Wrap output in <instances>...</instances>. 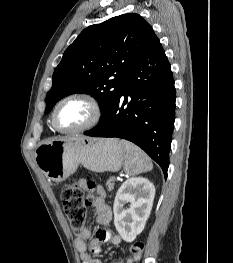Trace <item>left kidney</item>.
<instances>
[{"instance_id": "left-kidney-1", "label": "left kidney", "mask_w": 233, "mask_h": 263, "mask_svg": "<svg viewBox=\"0 0 233 263\" xmlns=\"http://www.w3.org/2000/svg\"><path fill=\"white\" fill-rule=\"evenodd\" d=\"M155 196L154 185L146 178L133 177L119 188L114 205V225L121 238L133 242L149 218ZM129 208H124L126 203Z\"/></svg>"}]
</instances>
